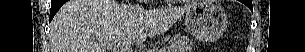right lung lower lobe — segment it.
<instances>
[{"mask_svg":"<svg viewBox=\"0 0 305 52\" xmlns=\"http://www.w3.org/2000/svg\"><path fill=\"white\" fill-rule=\"evenodd\" d=\"M66 2V0H52L50 9V21L53 19L59 8Z\"/></svg>","mask_w":305,"mask_h":52,"instance_id":"98d812e1","label":"right lung lower lobe"}]
</instances>
